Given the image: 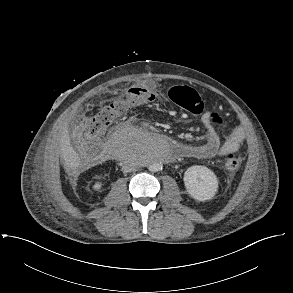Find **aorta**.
<instances>
[{"label":"aorta","mask_w":293,"mask_h":293,"mask_svg":"<svg viewBox=\"0 0 293 293\" xmlns=\"http://www.w3.org/2000/svg\"><path fill=\"white\" fill-rule=\"evenodd\" d=\"M170 146V142L163 137H153L151 141V153L156 156H163L166 149ZM148 169L152 172L162 170V164L154 162L149 165Z\"/></svg>","instance_id":"aorta-1"}]
</instances>
